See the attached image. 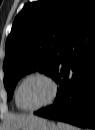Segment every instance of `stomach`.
Segmentation results:
<instances>
[{"label": "stomach", "mask_w": 95, "mask_h": 130, "mask_svg": "<svg viewBox=\"0 0 95 130\" xmlns=\"http://www.w3.org/2000/svg\"><path fill=\"white\" fill-rule=\"evenodd\" d=\"M19 130H59L56 124L44 118L35 117Z\"/></svg>", "instance_id": "1"}]
</instances>
